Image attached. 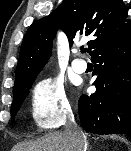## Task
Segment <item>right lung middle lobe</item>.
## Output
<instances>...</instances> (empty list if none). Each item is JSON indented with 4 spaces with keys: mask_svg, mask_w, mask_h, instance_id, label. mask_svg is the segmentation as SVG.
<instances>
[{
    "mask_svg": "<svg viewBox=\"0 0 131 151\" xmlns=\"http://www.w3.org/2000/svg\"><path fill=\"white\" fill-rule=\"evenodd\" d=\"M35 78H33L25 86H22L18 89L13 90V103H12V106H11V117H12V119H14V117L17 114L21 104L23 103L24 99L26 98L27 94L29 93V90L31 89L32 83L34 82Z\"/></svg>",
    "mask_w": 131,
    "mask_h": 151,
    "instance_id": "dd1d6c3e",
    "label": "right lung middle lobe"
}]
</instances>
